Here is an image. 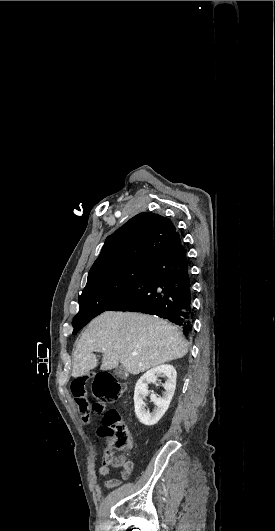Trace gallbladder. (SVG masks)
I'll return each instance as SVG.
<instances>
[{"label": "gallbladder", "mask_w": 275, "mask_h": 531, "mask_svg": "<svg viewBox=\"0 0 275 531\" xmlns=\"http://www.w3.org/2000/svg\"><path fill=\"white\" fill-rule=\"evenodd\" d=\"M115 375L119 377V379H127L128 377V371H126L125 367L119 363L118 367H116L114 371Z\"/></svg>", "instance_id": "bac80fb5"}]
</instances>
